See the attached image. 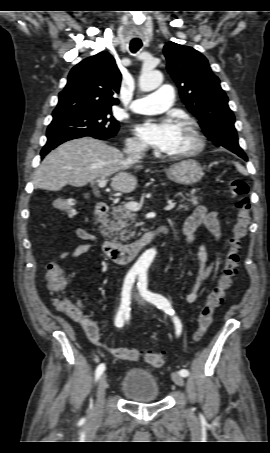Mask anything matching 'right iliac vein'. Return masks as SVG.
Returning <instances> with one entry per match:
<instances>
[{
	"label": "right iliac vein",
	"instance_id": "obj_1",
	"mask_svg": "<svg viewBox=\"0 0 270 453\" xmlns=\"http://www.w3.org/2000/svg\"><path fill=\"white\" fill-rule=\"evenodd\" d=\"M106 388H107V376L106 374H103L98 383L97 403L94 409L96 415H101L103 412Z\"/></svg>",
	"mask_w": 270,
	"mask_h": 453
}]
</instances>
